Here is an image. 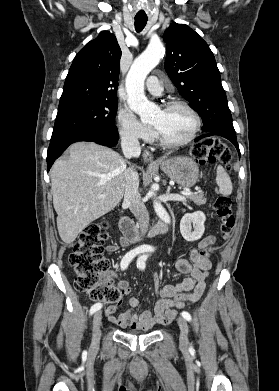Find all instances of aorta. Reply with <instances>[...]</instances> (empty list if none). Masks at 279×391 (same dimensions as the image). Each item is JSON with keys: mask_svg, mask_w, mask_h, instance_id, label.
Listing matches in <instances>:
<instances>
[{"mask_svg": "<svg viewBox=\"0 0 279 391\" xmlns=\"http://www.w3.org/2000/svg\"><path fill=\"white\" fill-rule=\"evenodd\" d=\"M164 52L165 49L161 42L150 43L146 50L134 60L126 78L127 103L143 121L150 119L156 111V105L145 96L144 81L151 70L158 65ZM149 193L153 197L156 196L154 186L151 187ZM153 207L157 216L169 224L170 216L162 204L154 200Z\"/></svg>", "mask_w": 279, "mask_h": 391, "instance_id": "762f6f07", "label": "aorta"}]
</instances>
